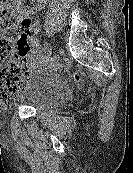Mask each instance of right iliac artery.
<instances>
[{"instance_id":"right-iliac-artery-1","label":"right iliac artery","mask_w":133,"mask_h":173,"mask_svg":"<svg viewBox=\"0 0 133 173\" xmlns=\"http://www.w3.org/2000/svg\"><path fill=\"white\" fill-rule=\"evenodd\" d=\"M45 50L47 53L51 50L50 44L45 43Z\"/></svg>"}]
</instances>
